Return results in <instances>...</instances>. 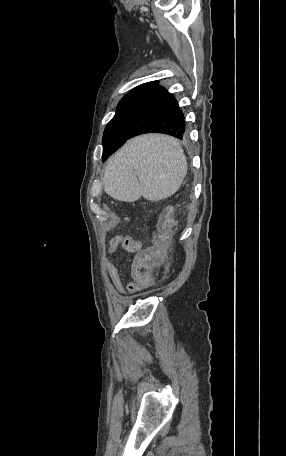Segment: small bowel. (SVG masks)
<instances>
[{
  "label": "small bowel",
  "mask_w": 286,
  "mask_h": 456,
  "mask_svg": "<svg viewBox=\"0 0 286 456\" xmlns=\"http://www.w3.org/2000/svg\"><path fill=\"white\" fill-rule=\"evenodd\" d=\"M140 246L141 242L139 240L129 236L117 235L110 240L108 255L110 257L113 256L120 248H124L128 253H133ZM105 269L112 285L120 294L135 293L140 290L133 281L123 284L117 266L109 258L105 261Z\"/></svg>",
  "instance_id": "1"
}]
</instances>
